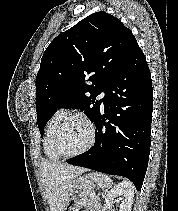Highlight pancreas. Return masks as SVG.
Returning a JSON list of instances; mask_svg holds the SVG:
<instances>
[{
    "label": "pancreas",
    "instance_id": "cf45deb5",
    "mask_svg": "<svg viewBox=\"0 0 178 211\" xmlns=\"http://www.w3.org/2000/svg\"><path fill=\"white\" fill-rule=\"evenodd\" d=\"M86 206H87L89 209L98 211L97 209L100 207V199H99V197H98V196L90 197V198L87 200ZM92 210H91V211H92Z\"/></svg>",
    "mask_w": 178,
    "mask_h": 211
}]
</instances>
